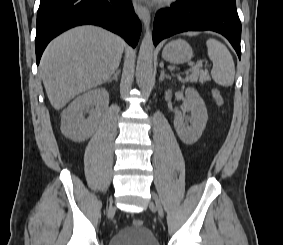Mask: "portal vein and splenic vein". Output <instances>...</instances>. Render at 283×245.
I'll use <instances>...</instances> for the list:
<instances>
[{"mask_svg": "<svg viewBox=\"0 0 283 245\" xmlns=\"http://www.w3.org/2000/svg\"><path fill=\"white\" fill-rule=\"evenodd\" d=\"M203 67L202 62H198L196 63L193 67H191L190 69L187 70V72L192 71V70H199L200 68Z\"/></svg>", "mask_w": 283, "mask_h": 245, "instance_id": "1", "label": "portal vein and splenic vein"}]
</instances>
